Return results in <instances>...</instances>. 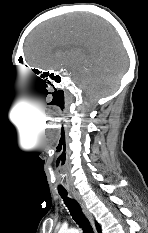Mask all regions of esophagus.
Masks as SVG:
<instances>
[{
  "mask_svg": "<svg viewBox=\"0 0 148 233\" xmlns=\"http://www.w3.org/2000/svg\"><path fill=\"white\" fill-rule=\"evenodd\" d=\"M73 197L78 201V203L81 205V208L86 216V218L89 220V222L91 223V225L94 227V219L92 214L89 212L88 208L86 207L84 201L82 200L81 196L79 195L78 192L76 191H72L71 192ZM95 233H97V231H95Z\"/></svg>",
  "mask_w": 148,
  "mask_h": 233,
  "instance_id": "obj_1",
  "label": "esophagus"
}]
</instances>
